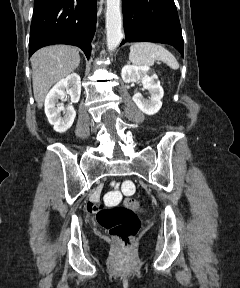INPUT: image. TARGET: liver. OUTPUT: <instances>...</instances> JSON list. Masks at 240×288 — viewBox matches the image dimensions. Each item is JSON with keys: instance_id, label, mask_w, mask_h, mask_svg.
<instances>
[{"instance_id": "liver-1", "label": "liver", "mask_w": 240, "mask_h": 288, "mask_svg": "<svg viewBox=\"0 0 240 288\" xmlns=\"http://www.w3.org/2000/svg\"><path fill=\"white\" fill-rule=\"evenodd\" d=\"M30 61L34 98L40 109L51 86L78 67L80 55L74 47L53 45L38 50Z\"/></svg>"}]
</instances>
